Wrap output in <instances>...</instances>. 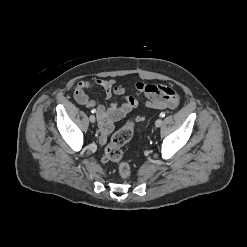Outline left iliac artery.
Instances as JSON below:
<instances>
[{
  "instance_id": "44dca946",
  "label": "left iliac artery",
  "mask_w": 247,
  "mask_h": 247,
  "mask_svg": "<svg viewBox=\"0 0 247 247\" xmlns=\"http://www.w3.org/2000/svg\"><path fill=\"white\" fill-rule=\"evenodd\" d=\"M164 116H165L164 112L160 113V117H164Z\"/></svg>"
}]
</instances>
